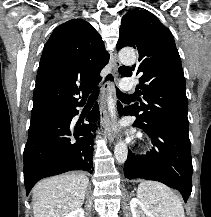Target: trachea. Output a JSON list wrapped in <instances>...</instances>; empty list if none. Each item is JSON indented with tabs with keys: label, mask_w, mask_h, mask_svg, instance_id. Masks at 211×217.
I'll list each match as a JSON object with an SVG mask.
<instances>
[{
	"label": "trachea",
	"mask_w": 211,
	"mask_h": 217,
	"mask_svg": "<svg viewBox=\"0 0 211 217\" xmlns=\"http://www.w3.org/2000/svg\"><path fill=\"white\" fill-rule=\"evenodd\" d=\"M106 79L108 80H113V77L111 74H109ZM116 94H117V97L118 98H131L132 96L131 95H127L123 92H121L118 88H116ZM98 95H99V90H96L94 91L90 96H89V99L88 101L89 102H94L96 101V99L98 98Z\"/></svg>",
	"instance_id": "trachea-1"
}]
</instances>
